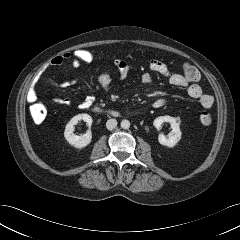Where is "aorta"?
I'll return each mask as SVG.
<instances>
[{
    "label": "aorta",
    "instance_id": "1",
    "mask_svg": "<svg viewBox=\"0 0 240 240\" xmlns=\"http://www.w3.org/2000/svg\"><path fill=\"white\" fill-rule=\"evenodd\" d=\"M129 127H130V122L128 120L125 119L121 121V128L129 129Z\"/></svg>",
    "mask_w": 240,
    "mask_h": 240
}]
</instances>
